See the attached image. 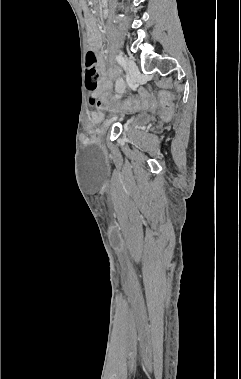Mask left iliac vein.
<instances>
[{"label":"left iliac vein","mask_w":241,"mask_h":379,"mask_svg":"<svg viewBox=\"0 0 241 379\" xmlns=\"http://www.w3.org/2000/svg\"><path fill=\"white\" fill-rule=\"evenodd\" d=\"M125 63H126L127 72L129 74L131 81L136 82L139 75H140V72H139V69H138L136 63L132 59H126ZM109 125H110V120L106 119L99 129V134L104 135L106 133Z\"/></svg>","instance_id":"obj_1"}]
</instances>
